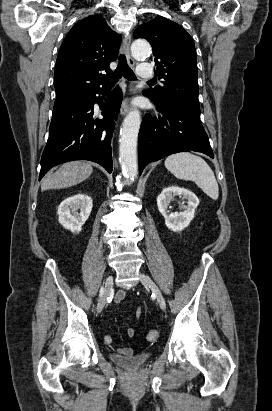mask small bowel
<instances>
[{
  "label": "small bowel",
  "instance_id": "obj_1",
  "mask_svg": "<svg viewBox=\"0 0 272 411\" xmlns=\"http://www.w3.org/2000/svg\"><path fill=\"white\" fill-rule=\"evenodd\" d=\"M126 291L125 290H119L116 295H115V302L120 303L122 302L125 298H126ZM141 315V309L138 307L135 311L134 316H130L129 317V322H131L133 320V318L138 319ZM126 333L129 337H134L135 336V329L129 324L127 329H126ZM105 342L106 343H111L112 342V338L110 336H106L105 337ZM119 353L123 354V355H131L132 354V349L131 348H121L118 350Z\"/></svg>",
  "mask_w": 272,
  "mask_h": 411
}]
</instances>
